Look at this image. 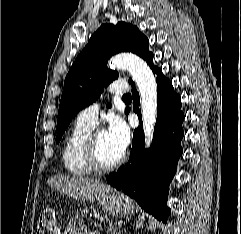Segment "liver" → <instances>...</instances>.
I'll list each match as a JSON object with an SVG mask.
<instances>
[{"label": "liver", "mask_w": 241, "mask_h": 234, "mask_svg": "<svg viewBox=\"0 0 241 234\" xmlns=\"http://www.w3.org/2000/svg\"><path fill=\"white\" fill-rule=\"evenodd\" d=\"M51 188L81 201L100 199L111 191V186L97 178L54 175L47 181Z\"/></svg>", "instance_id": "liver-1"}]
</instances>
